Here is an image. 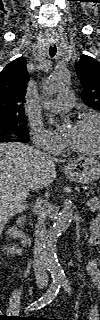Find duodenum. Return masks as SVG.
<instances>
[{
    "label": "duodenum",
    "mask_w": 100,
    "mask_h": 320,
    "mask_svg": "<svg viewBox=\"0 0 100 320\" xmlns=\"http://www.w3.org/2000/svg\"><path fill=\"white\" fill-rule=\"evenodd\" d=\"M18 224H19V225H22V224H23V220H19V221H18ZM21 240H22L25 244H29L30 241H31V238H30L29 236H23V237L21 238Z\"/></svg>",
    "instance_id": "410a0bca"
}]
</instances>
